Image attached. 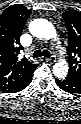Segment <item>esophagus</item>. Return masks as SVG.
I'll list each match as a JSON object with an SVG mask.
<instances>
[{
    "mask_svg": "<svg viewBox=\"0 0 81 124\" xmlns=\"http://www.w3.org/2000/svg\"><path fill=\"white\" fill-rule=\"evenodd\" d=\"M45 60H46L47 62L54 63L55 60H56V57L53 55V56H51L50 58H46Z\"/></svg>",
    "mask_w": 81,
    "mask_h": 124,
    "instance_id": "34e87169",
    "label": "esophagus"
}]
</instances>
